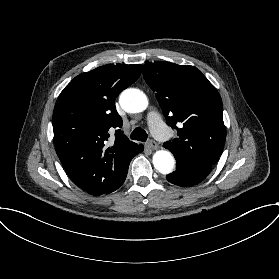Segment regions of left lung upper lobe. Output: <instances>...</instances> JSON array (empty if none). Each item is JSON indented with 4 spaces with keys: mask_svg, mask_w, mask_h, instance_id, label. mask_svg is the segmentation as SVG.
<instances>
[{
    "mask_svg": "<svg viewBox=\"0 0 279 279\" xmlns=\"http://www.w3.org/2000/svg\"><path fill=\"white\" fill-rule=\"evenodd\" d=\"M143 75L156 92L167 124L178 138L164 143L175 157L213 166L226 139L222 100L200 70L169 62L147 63ZM181 122V128L176 123Z\"/></svg>",
    "mask_w": 279,
    "mask_h": 279,
    "instance_id": "obj_1",
    "label": "left lung upper lobe"
}]
</instances>
